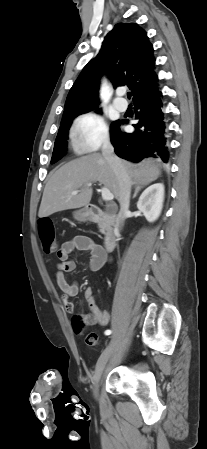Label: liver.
Returning a JSON list of instances; mask_svg holds the SVG:
<instances>
[{
	"instance_id": "liver-1",
	"label": "liver",
	"mask_w": 207,
	"mask_h": 449,
	"mask_svg": "<svg viewBox=\"0 0 207 449\" xmlns=\"http://www.w3.org/2000/svg\"><path fill=\"white\" fill-rule=\"evenodd\" d=\"M131 184L144 186L156 180L160 169L151 160L139 164L122 161ZM99 181L119 200L120 189L115 173L103 155L94 153L74 159L56 170L47 182L38 216L44 218L56 212L89 204L93 190L88 183ZM137 186V187H138ZM78 191L73 195V191Z\"/></svg>"
}]
</instances>
